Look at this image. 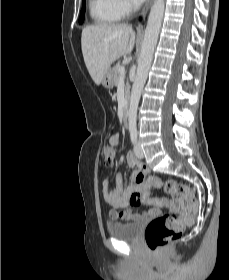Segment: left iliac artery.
Returning <instances> with one entry per match:
<instances>
[{
  "label": "left iliac artery",
  "instance_id": "obj_1",
  "mask_svg": "<svg viewBox=\"0 0 229 280\" xmlns=\"http://www.w3.org/2000/svg\"><path fill=\"white\" fill-rule=\"evenodd\" d=\"M130 138L131 142L134 144L137 141V130L136 129H131L130 130Z\"/></svg>",
  "mask_w": 229,
  "mask_h": 280
}]
</instances>
